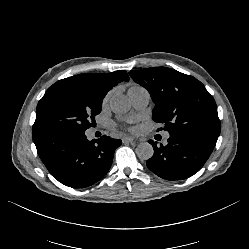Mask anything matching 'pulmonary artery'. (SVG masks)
I'll return each instance as SVG.
<instances>
[{
	"mask_svg": "<svg viewBox=\"0 0 249 249\" xmlns=\"http://www.w3.org/2000/svg\"><path fill=\"white\" fill-rule=\"evenodd\" d=\"M129 97L132 101L133 107L137 110L144 109L150 101V94L146 89L130 93ZM169 136H170L169 133L164 134L165 143L167 142Z\"/></svg>",
	"mask_w": 249,
	"mask_h": 249,
	"instance_id": "1",
	"label": "pulmonary artery"
}]
</instances>
